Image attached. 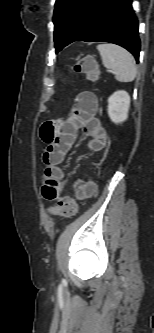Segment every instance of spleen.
Segmentation results:
<instances>
[{
    "label": "spleen",
    "mask_w": 154,
    "mask_h": 333,
    "mask_svg": "<svg viewBox=\"0 0 154 333\" xmlns=\"http://www.w3.org/2000/svg\"><path fill=\"white\" fill-rule=\"evenodd\" d=\"M103 65L112 69L116 80L131 82L135 79L137 69L134 57L124 48L114 44L97 46Z\"/></svg>",
    "instance_id": "3e777b00"
}]
</instances>
